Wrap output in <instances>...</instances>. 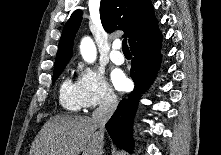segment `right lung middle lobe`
I'll return each instance as SVG.
<instances>
[{
  "label": "right lung middle lobe",
  "mask_w": 221,
  "mask_h": 155,
  "mask_svg": "<svg viewBox=\"0 0 221 155\" xmlns=\"http://www.w3.org/2000/svg\"><path fill=\"white\" fill-rule=\"evenodd\" d=\"M66 65L57 67L54 69V74H53V82L55 80H57V78L59 77V75L61 74V72L63 71V69L65 68Z\"/></svg>",
  "instance_id": "obj_1"
}]
</instances>
